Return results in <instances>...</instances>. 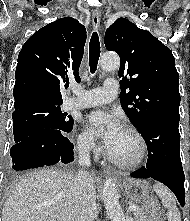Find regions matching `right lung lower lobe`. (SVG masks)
I'll return each instance as SVG.
<instances>
[{
    "instance_id": "right-lung-lower-lobe-1",
    "label": "right lung lower lobe",
    "mask_w": 190,
    "mask_h": 221,
    "mask_svg": "<svg viewBox=\"0 0 190 221\" xmlns=\"http://www.w3.org/2000/svg\"><path fill=\"white\" fill-rule=\"evenodd\" d=\"M73 126L61 129L45 128L31 134L10 149L14 170L73 161V144L64 136Z\"/></svg>"
}]
</instances>
